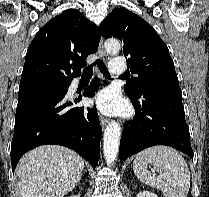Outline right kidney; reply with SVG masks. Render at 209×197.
<instances>
[{
    "mask_svg": "<svg viewBox=\"0 0 209 197\" xmlns=\"http://www.w3.org/2000/svg\"><path fill=\"white\" fill-rule=\"evenodd\" d=\"M70 197H80L79 195H71Z\"/></svg>",
    "mask_w": 209,
    "mask_h": 197,
    "instance_id": "right-kidney-1",
    "label": "right kidney"
}]
</instances>
